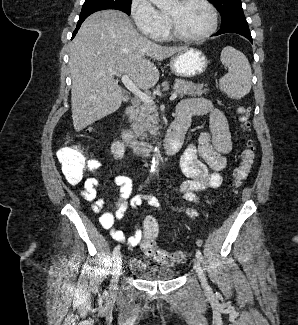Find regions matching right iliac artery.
Wrapping results in <instances>:
<instances>
[{
	"label": "right iliac artery",
	"instance_id": "1",
	"mask_svg": "<svg viewBox=\"0 0 298 325\" xmlns=\"http://www.w3.org/2000/svg\"><path fill=\"white\" fill-rule=\"evenodd\" d=\"M119 251H120V245H117L113 250V254H112L113 259H115L116 256L119 254Z\"/></svg>",
	"mask_w": 298,
	"mask_h": 325
}]
</instances>
